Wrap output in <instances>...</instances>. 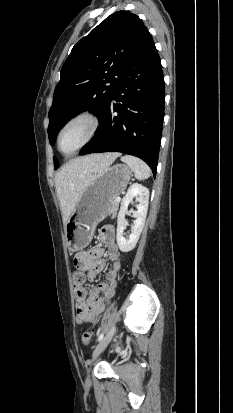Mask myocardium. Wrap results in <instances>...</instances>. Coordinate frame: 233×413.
<instances>
[{
    "label": "myocardium",
    "mask_w": 233,
    "mask_h": 413,
    "mask_svg": "<svg viewBox=\"0 0 233 413\" xmlns=\"http://www.w3.org/2000/svg\"><path fill=\"white\" fill-rule=\"evenodd\" d=\"M79 120H85L89 123L90 125V130L88 132L87 137L85 138V140L79 145L77 146L75 149H73L70 152H63L61 147H60V139L61 136L63 134V132L73 123L79 121ZM100 128V119L99 116L92 110L89 109H85V110H81L78 111L77 113H75L74 115H72L71 117H69L61 126V128L59 129L57 136H56V146L58 151L64 155V156H71L75 153H77L79 150H81L83 147H85L87 144H89L97 135L98 131Z\"/></svg>",
    "instance_id": "1"
}]
</instances>
